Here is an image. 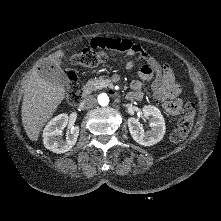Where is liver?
<instances>
[{
    "mask_svg": "<svg viewBox=\"0 0 221 221\" xmlns=\"http://www.w3.org/2000/svg\"><path fill=\"white\" fill-rule=\"evenodd\" d=\"M64 55L63 50H58L44 60L60 67L61 58ZM40 62L32 68L28 77L21 110L23 127L32 141L38 140L43 126L53 116V113L65 98L63 85L49 82L39 76L37 67Z\"/></svg>",
    "mask_w": 221,
    "mask_h": 221,
    "instance_id": "obj_1",
    "label": "liver"
}]
</instances>
